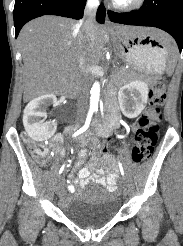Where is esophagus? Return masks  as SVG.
<instances>
[{
    "mask_svg": "<svg viewBox=\"0 0 183 246\" xmlns=\"http://www.w3.org/2000/svg\"><path fill=\"white\" fill-rule=\"evenodd\" d=\"M105 24H106L107 26H112L111 21H110V19H109V17H108V14L106 15Z\"/></svg>",
    "mask_w": 183,
    "mask_h": 246,
    "instance_id": "esophagus-1",
    "label": "esophagus"
}]
</instances>
